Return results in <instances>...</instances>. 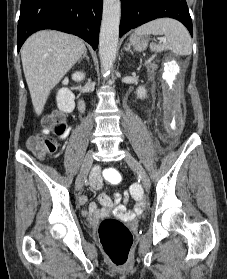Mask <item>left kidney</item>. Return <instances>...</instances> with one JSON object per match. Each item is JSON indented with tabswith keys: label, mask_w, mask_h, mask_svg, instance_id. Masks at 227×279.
Wrapping results in <instances>:
<instances>
[{
	"label": "left kidney",
	"mask_w": 227,
	"mask_h": 279,
	"mask_svg": "<svg viewBox=\"0 0 227 279\" xmlns=\"http://www.w3.org/2000/svg\"><path fill=\"white\" fill-rule=\"evenodd\" d=\"M146 89L144 86H140L138 87L137 91H136V94H137V98H140V99H143L146 97Z\"/></svg>",
	"instance_id": "5707ae66"
}]
</instances>
